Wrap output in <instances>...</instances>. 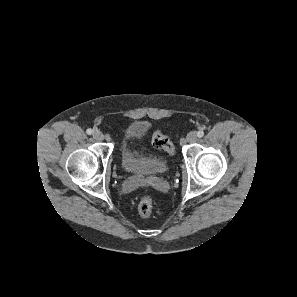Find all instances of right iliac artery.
<instances>
[{
  "label": "right iliac artery",
  "instance_id": "82829eb1",
  "mask_svg": "<svg viewBox=\"0 0 297 297\" xmlns=\"http://www.w3.org/2000/svg\"><path fill=\"white\" fill-rule=\"evenodd\" d=\"M86 133H87L88 135H91V134H93V130L90 129V128H88V129L86 130Z\"/></svg>",
  "mask_w": 297,
  "mask_h": 297
}]
</instances>
